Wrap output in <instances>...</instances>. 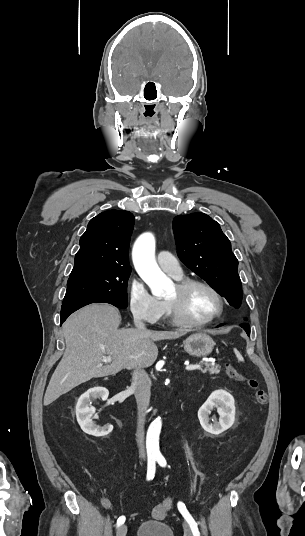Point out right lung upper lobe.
<instances>
[{"label": "right lung upper lobe", "mask_w": 305, "mask_h": 536, "mask_svg": "<svg viewBox=\"0 0 305 536\" xmlns=\"http://www.w3.org/2000/svg\"><path fill=\"white\" fill-rule=\"evenodd\" d=\"M133 226L134 216L125 210H108L91 219L80 238L70 277L131 271L128 249Z\"/></svg>", "instance_id": "obj_1"}]
</instances>
